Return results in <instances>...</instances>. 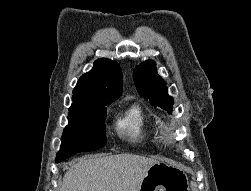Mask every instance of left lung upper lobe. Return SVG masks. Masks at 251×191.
I'll return each instance as SVG.
<instances>
[{"label": "left lung upper lobe", "mask_w": 251, "mask_h": 191, "mask_svg": "<svg viewBox=\"0 0 251 191\" xmlns=\"http://www.w3.org/2000/svg\"><path fill=\"white\" fill-rule=\"evenodd\" d=\"M133 78L141 96L150 99L151 104L167 110L168 113L172 112L173 98L168 95L165 82L157 74L154 61L148 60L137 66Z\"/></svg>", "instance_id": "1"}]
</instances>
